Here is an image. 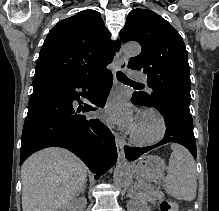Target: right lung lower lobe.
I'll return each mask as SVG.
<instances>
[{"instance_id": "98d812e1", "label": "right lung lower lobe", "mask_w": 219, "mask_h": 211, "mask_svg": "<svg viewBox=\"0 0 219 211\" xmlns=\"http://www.w3.org/2000/svg\"><path fill=\"white\" fill-rule=\"evenodd\" d=\"M112 78L111 71L105 68L87 78L33 80L22 132L20 164L43 148L62 147L76 154L96 174V179L109 170L117 160L115 138L98 118L82 113L104 107ZM80 96L95 106L83 103Z\"/></svg>"}]
</instances>
